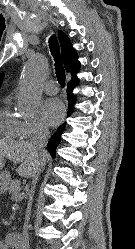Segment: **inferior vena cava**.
<instances>
[{
	"mask_svg": "<svg viewBox=\"0 0 135 249\" xmlns=\"http://www.w3.org/2000/svg\"><path fill=\"white\" fill-rule=\"evenodd\" d=\"M49 138V130L46 127H39L35 136L30 140L31 146L34 148L36 155L42 156L47 151L44 149ZM44 165V163H41V165L37 166L34 170L33 176H32V187H31V193H30V200L28 203V211L26 216V224L24 226V232L23 237L20 244V249H29V238H28V221H29V214L31 211V204H32V197L34 194V190L36 187V183L38 181L41 168Z\"/></svg>",
	"mask_w": 135,
	"mask_h": 249,
	"instance_id": "inferior-vena-cava-1",
	"label": "inferior vena cava"
}]
</instances>
